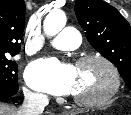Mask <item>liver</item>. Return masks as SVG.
Here are the masks:
<instances>
[{"mask_svg": "<svg viewBox=\"0 0 131 115\" xmlns=\"http://www.w3.org/2000/svg\"><path fill=\"white\" fill-rule=\"evenodd\" d=\"M0 115H18V110L0 103Z\"/></svg>", "mask_w": 131, "mask_h": 115, "instance_id": "liver-1", "label": "liver"}]
</instances>
